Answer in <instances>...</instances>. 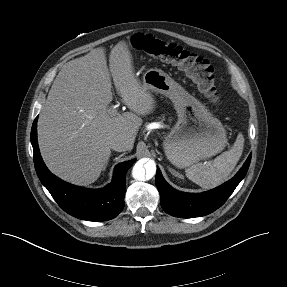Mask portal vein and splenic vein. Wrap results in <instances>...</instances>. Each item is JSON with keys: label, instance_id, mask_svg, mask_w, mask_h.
Returning <instances> with one entry per match:
<instances>
[{"label": "portal vein and splenic vein", "instance_id": "portal-vein-and-splenic-vein-1", "mask_svg": "<svg viewBox=\"0 0 287 287\" xmlns=\"http://www.w3.org/2000/svg\"><path fill=\"white\" fill-rule=\"evenodd\" d=\"M111 113H112L113 115H116V114H117V110H116V109H112V110H111Z\"/></svg>", "mask_w": 287, "mask_h": 287}]
</instances>
